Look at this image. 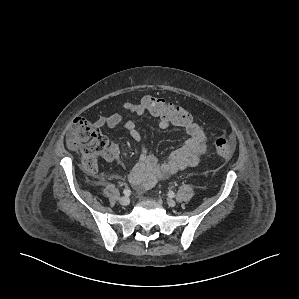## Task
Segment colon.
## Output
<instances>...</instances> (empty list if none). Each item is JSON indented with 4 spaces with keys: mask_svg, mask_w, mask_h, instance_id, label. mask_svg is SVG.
<instances>
[{
    "mask_svg": "<svg viewBox=\"0 0 299 299\" xmlns=\"http://www.w3.org/2000/svg\"><path fill=\"white\" fill-rule=\"evenodd\" d=\"M146 113L169 125L185 127L193 119L182 106L173 104L156 95H146L141 99ZM70 149L82 155V162L86 169L94 171L97 166V156L105 149L107 141L98 127L88 120L77 117L73 120L67 136ZM216 155L224 160H230L234 154L233 143L225 138H218L214 143Z\"/></svg>",
    "mask_w": 299,
    "mask_h": 299,
    "instance_id": "colon-1",
    "label": "colon"
}]
</instances>
